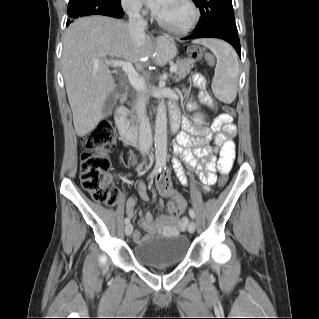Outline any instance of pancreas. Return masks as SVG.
<instances>
[{
    "label": "pancreas",
    "mask_w": 319,
    "mask_h": 319,
    "mask_svg": "<svg viewBox=\"0 0 319 319\" xmlns=\"http://www.w3.org/2000/svg\"><path fill=\"white\" fill-rule=\"evenodd\" d=\"M177 69L175 71V78L176 81H179L180 79L184 78L190 70L194 66V60L191 59H182L176 63Z\"/></svg>",
    "instance_id": "cf45deb5"
}]
</instances>
